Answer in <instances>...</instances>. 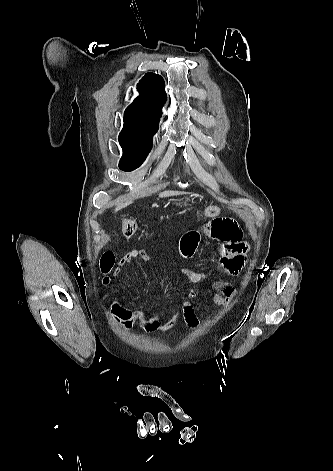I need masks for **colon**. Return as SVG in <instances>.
<instances>
[{"mask_svg": "<svg viewBox=\"0 0 333 471\" xmlns=\"http://www.w3.org/2000/svg\"><path fill=\"white\" fill-rule=\"evenodd\" d=\"M204 214L207 217H217L221 214V209L218 206L211 205L204 209ZM121 228L126 238H132L136 235L138 227L136 222L130 218H124L121 220ZM114 255L112 252H106L100 259V267L103 273H108L114 265Z\"/></svg>", "mask_w": 333, "mask_h": 471, "instance_id": "colon-1", "label": "colon"}]
</instances>
